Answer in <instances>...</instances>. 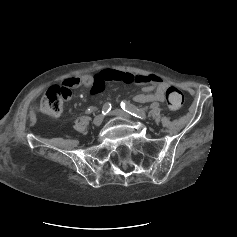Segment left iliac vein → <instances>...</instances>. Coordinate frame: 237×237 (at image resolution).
Segmentation results:
<instances>
[{"label": "left iliac vein", "mask_w": 237, "mask_h": 237, "mask_svg": "<svg viewBox=\"0 0 237 237\" xmlns=\"http://www.w3.org/2000/svg\"><path fill=\"white\" fill-rule=\"evenodd\" d=\"M111 114L117 117H121V118L132 119V117L129 114H127L121 109H114L113 111H111Z\"/></svg>", "instance_id": "1"}]
</instances>
